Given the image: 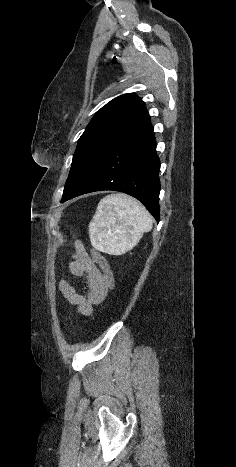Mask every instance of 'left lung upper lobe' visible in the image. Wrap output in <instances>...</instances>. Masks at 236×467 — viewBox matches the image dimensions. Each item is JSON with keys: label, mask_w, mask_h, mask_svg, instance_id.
<instances>
[{"label": "left lung upper lobe", "mask_w": 236, "mask_h": 467, "mask_svg": "<svg viewBox=\"0 0 236 467\" xmlns=\"http://www.w3.org/2000/svg\"><path fill=\"white\" fill-rule=\"evenodd\" d=\"M147 115L144 102L133 93L120 95L103 106L78 141L62 200L78 191L111 145Z\"/></svg>", "instance_id": "5c2ea615"}]
</instances>
